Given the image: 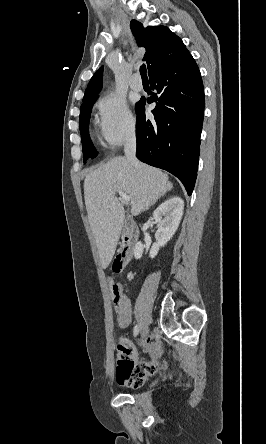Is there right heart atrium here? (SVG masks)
Wrapping results in <instances>:
<instances>
[{"instance_id":"obj_1","label":"right heart atrium","mask_w":266,"mask_h":444,"mask_svg":"<svg viewBox=\"0 0 266 444\" xmlns=\"http://www.w3.org/2000/svg\"><path fill=\"white\" fill-rule=\"evenodd\" d=\"M98 126L102 141L111 148L120 147L135 133V119L124 100L108 93L97 102Z\"/></svg>"}]
</instances>
